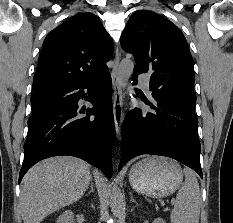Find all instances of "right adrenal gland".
I'll use <instances>...</instances> for the list:
<instances>
[{
	"instance_id": "right-adrenal-gland-1",
	"label": "right adrenal gland",
	"mask_w": 233,
	"mask_h": 223,
	"mask_svg": "<svg viewBox=\"0 0 233 223\" xmlns=\"http://www.w3.org/2000/svg\"><path fill=\"white\" fill-rule=\"evenodd\" d=\"M92 179H93V177H90V191H88V193H86V195H89V193H94Z\"/></svg>"
}]
</instances>
